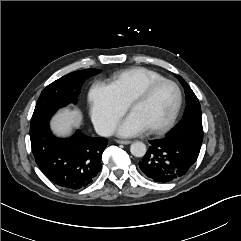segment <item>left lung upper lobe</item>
<instances>
[{
	"mask_svg": "<svg viewBox=\"0 0 241 241\" xmlns=\"http://www.w3.org/2000/svg\"><path fill=\"white\" fill-rule=\"evenodd\" d=\"M176 77L185 89L187 106L181 123L169 132L166 138L176 139L194 153L199 154L203 140L201 107L185 80L178 75Z\"/></svg>",
	"mask_w": 241,
	"mask_h": 241,
	"instance_id": "1",
	"label": "left lung upper lobe"
}]
</instances>
